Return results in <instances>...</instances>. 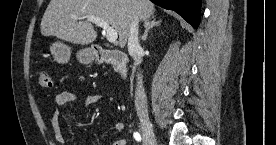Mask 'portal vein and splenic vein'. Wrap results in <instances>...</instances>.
Listing matches in <instances>:
<instances>
[{"label":"portal vein and splenic vein","mask_w":276,"mask_h":145,"mask_svg":"<svg viewBox=\"0 0 276 145\" xmlns=\"http://www.w3.org/2000/svg\"><path fill=\"white\" fill-rule=\"evenodd\" d=\"M73 18L75 20L79 19L77 16H73ZM85 18L87 19V21L92 22L98 25L99 27H101L106 32V38L109 42L115 43L117 41V38H118L117 31L113 27H111L105 20L93 15L87 16Z\"/></svg>","instance_id":"portal-vein-and-splenic-vein-1"}]
</instances>
